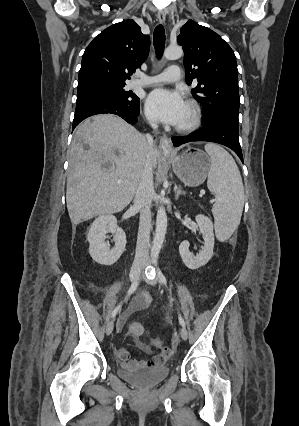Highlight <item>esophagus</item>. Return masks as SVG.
Wrapping results in <instances>:
<instances>
[{
	"label": "esophagus",
	"mask_w": 299,
	"mask_h": 426,
	"mask_svg": "<svg viewBox=\"0 0 299 426\" xmlns=\"http://www.w3.org/2000/svg\"><path fill=\"white\" fill-rule=\"evenodd\" d=\"M157 18L161 24H164L166 21V16L163 12H159ZM159 147L164 155H171L173 152L171 140L168 137L163 136L160 138Z\"/></svg>",
	"instance_id": "34e87169"
}]
</instances>
